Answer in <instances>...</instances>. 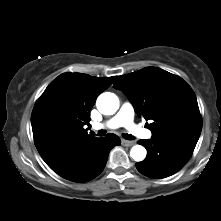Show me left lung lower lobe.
<instances>
[{
  "label": "left lung lower lobe",
  "mask_w": 221,
  "mask_h": 221,
  "mask_svg": "<svg viewBox=\"0 0 221 221\" xmlns=\"http://www.w3.org/2000/svg\"><path fill=\"white\" fill-rule=\"evenodd\" d=\"M198 136L179 135L162 139H147L138 141L148 154L142 161L136 163L140 173L150 178L161 179L173 175L190 159Z\"/></svg>",
  "instance_id": "left-lung-lower-lobe-1"
}]
</instances>
